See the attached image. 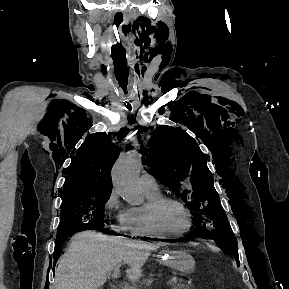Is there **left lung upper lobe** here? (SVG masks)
Here are the masks:
<instances>
[{
	"mask_svg": "<svg viewBox=\"0 0 289 289\" xmlns=\"http://www.w3.org/2000/svg\"><path fill=\"white\" fill-rule=\"evenodd\" d=\"M156 131L145 156L149 173L186 202L195 220L191 232L211 235L239 264L237 240L227 223L203 152L183 130L163 127Z\"/></svg>",
	"mask_w": 289,
	"mask_h": 289,
	"instance_id": "1",
	"label": "left lung upper lobe"
}]
</instances>
